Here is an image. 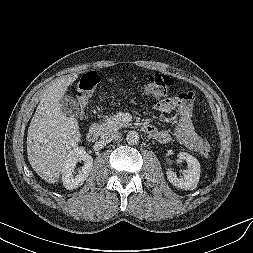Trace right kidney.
I'll use <instances>...</instances> for the list:
<instances>
[{"label": "right kidney", "mask_w": 253, "mask_h": 253, "mask_svg": "<svg viewBox=\"0 0 253 253\" xmlns=\"http://www.w3.org/2000/svg\"><path fill=\"white\" fill-rule=\"evenodd\" d=\"M84 162V165L79 170L78 174L75 175L74 169L78 162ZM93 167V158L91 155L86 153L84 148L76 147L67 156L63 163L61 170V180L63 185L68 190L78 188L89 176Z\"/></svg>", "instance_id": "right-kidney-1"}]
</instances>
